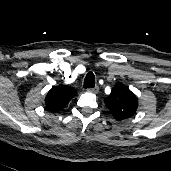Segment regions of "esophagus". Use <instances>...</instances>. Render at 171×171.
<instances>
[{
    "label": "esophagus",
    "instance_id": "esophagus-1",
    "mask_svg": "<svg viewBox=\"0 0 171 171\" xmlns=\"http://www.w3.org/2000/svg\"><path fill=\"white\" fill-rule=\"evenodd\" d=\"M89 92H92V93H97L99 91V87L98 86H95V87H89L87 89Z\"/></svg>",
    "mask_w": 171,
    "mask_h": 171
}]
</instances>
